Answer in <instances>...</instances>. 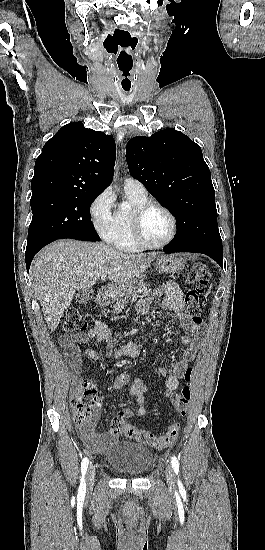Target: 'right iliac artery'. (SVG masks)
<instances>
[{
    "instance_id": "82829eb1",
    "label": "right iliac artery",
    "mask_w": 265,
    "mask_h": 550,
    "mask_svg": "<svg viewBox=\"0 0 265 550\" xmlns=\"http://www.w3.org/2000/svg\"><path fill=\"white\" fill-rule=\"evenodd\" d=\"M88 464H89V460H88L87 457H85L81 462L82 478H81V483H80L79 490H78L79 495H84L85 492H86V483H85L84 476L86 474Z\"/></svg>"
}]
</instances>
